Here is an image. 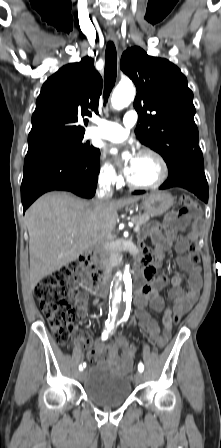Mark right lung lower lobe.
<instances>
[{
	"mask_svg": "<svg viewBox=\"0 0 221 448\" xmlns=\"http://www.w3.org/2000/svg\"><path fill=\"white\" fill-rule=\"evenodd\" d=\"M99 171L100 152L88 161L55 151L27 153L21 184L23 211L48 191L64 190L84 198L93 197Z\"/></svg>",
	"mask_w": 221,
	"mask_h": 448,
	"instance_id": "obj_1",
	"label": "right lung lower lobe"
}]
</instances>
